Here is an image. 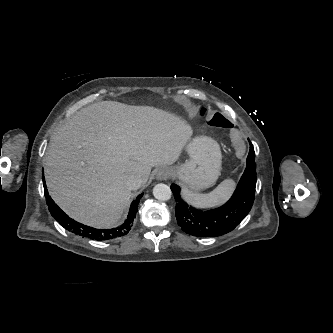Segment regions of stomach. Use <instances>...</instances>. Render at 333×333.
<instances>
[{
    "label": "stomach",
    "instance_id": "stomach-1",
    "mask_svg": "<svg viewBox=\"0 0 333 333\" xmlns=\"http://www.w3.org/2000/svg\"><path fill=\"white\" fill-rule=\"evenodd\" d=\"M189 159L170 167L172 176L192 191H201L215 184L221 171L219 144L207 136L193 138L186 147Z\"/></svg>",
    "mask_w": 333,
    "mask_h": 333
}]
</instances>
